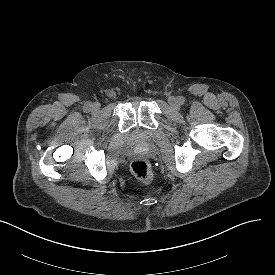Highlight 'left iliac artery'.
Masks as SVG:
<instances>
[{"label": "left iliac artery", "mask_w": 275, "mask_h": 275, "mask_svg": "<svg viewBox=\"0 0 275 275\" xmlns=\"http://www.w3.org/2000/svg\"><path fill=\"white\" fill-rule=\"evenodd\" d=\"M178 101H179V104H180V105H183L184 102H185V98H184L183 96H179V97H178Z\"/></svg>", "instance_id": "left-iliac-artery-1"}]
</instances>
